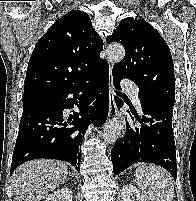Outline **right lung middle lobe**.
Here are the masks:
<instances>
[{"label":"right lung middle lobe","mask_w":196,"mask_h":201,"mask_svg":"<svg viewBox=\"0 0 196 201\" xmlns=\"http://www.w3.org/2000/svg\"><path fill=\"white\" fill-rule=\"evenodd\" d=\"M37 97H39V96L23 97V103H24V102L31 101V100H34V99L37 98Z\"/></svg>","instance_id":"dd1d6c3e"}]
</instances>
